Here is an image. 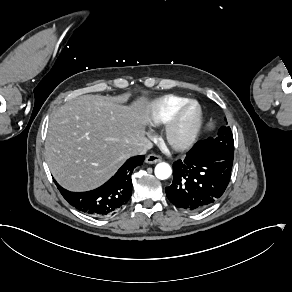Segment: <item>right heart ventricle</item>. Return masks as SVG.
<instances>
[{"label":"right heart ventricle","mask_w":292,"mask_h":292,"mask_svg":"<svg viewBox=\"0 0 292 292\" xmlns=\"http://www.w3.org/2000/svg\"><path fill=\"white\" fill-rule=\"evenodd\" d=\"M188 98L177 94H167L154 100L149 120L162 125L173 114V112L185 104Z\"/></svg>","instance_id":"e07e8e85"}]
</instances>
